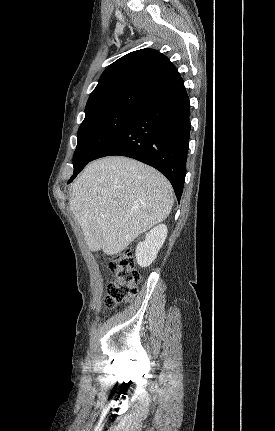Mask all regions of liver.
Returning <instances> with one entry per match:
<instances>
[{"mask_svg":"<svg viewBox=\"0 0 275 431\" xmlns=\"http://www.w3.org/2000/svg\"><path fill=\"white\" fill-rule=\"evenodd\" d=\"M174 203L170 182L134 159L89 163L72 186L69 205L89 250L122 252L139 234L165 220Z\"/></svg>","mask_w":275,"mask_h":431,"instance_id":"liver-1","label":"liver"}]
</instances>
